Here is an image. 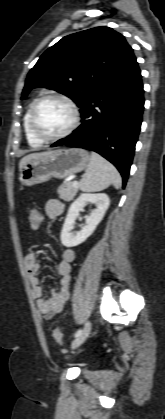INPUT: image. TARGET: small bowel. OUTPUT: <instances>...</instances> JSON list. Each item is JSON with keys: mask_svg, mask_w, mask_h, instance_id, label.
I'll list each match as a JSON object with an SVG mask.
<instances>
[{"mask_svg": "<svg viewBox=\"0 0 165 419\" xmlns=\"http://www.w3.org/2000/svg\"><path fill=\"white\" fill-rule=\"evenodd\" d=\"M63 209V204L58 200H49L45 205V213L50 219L59 217ZM74 259L75 252L71 248H64L62 250L61 260L57 264V272L61 276L60 288L58 291L50 290L46 294L39 278L41 264L36 254L29 253L25 256V267L36 307L47 320L59 313L69 298V290L73 279L71 263Z\"/></svg>", "mask_w": 165, "mask_h": 419, "instance_id": "c3829d8e", "label": "small bowel"}]
</instances>
